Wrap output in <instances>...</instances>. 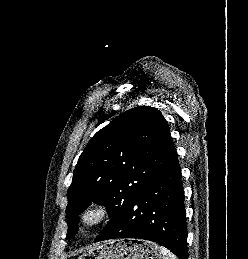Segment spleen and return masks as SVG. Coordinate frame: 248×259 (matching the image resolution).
I'll use <instances>...</instances> for the list:
<instances>
[{"label":"spleen","instance_id":"1","mask_svg":"<svg viewBox=\"0 0 248 259\" xmlns=\"http://www.w3.org/2000/svg\"><path fill=\"white\" fill-rule=\"evenodd\" d=\"M160 251L163 255V259H178L172 252L163 246L160 247Z\"/></svg>","mask_w":248,"mask_h":259}]
</instances>
